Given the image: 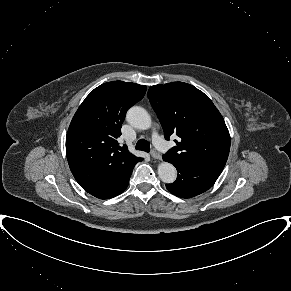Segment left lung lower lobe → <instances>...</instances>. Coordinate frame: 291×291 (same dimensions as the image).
Returning <instances> with one entry per match:
<instances>
[{
	"instance_id": "left-lung-lower-lobe-1",
	"label": "left lung lower lobe",
	"mask_w": 291,
	"mask_h": 291,
	"mask_svg": "<svg viewBox=\"0 0 291 291\" xmlns=\"http://www.w3.org/2000/svg\"><path fill=\"white\" fill-rule=\"evenodd\" d=\"M163 160L172 163L178 171L176 181L166 184V188L172 194L182 198H192L207 191L223 170V168L213 166L183 163L165 155H163Z\"/></svg>"
}]
</instances>
